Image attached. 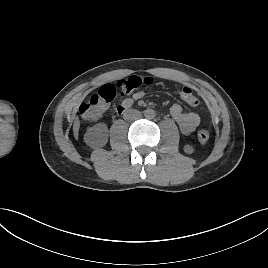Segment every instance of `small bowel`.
I'll return each mask as SVG.
<instances>
[{
	"label": "small bowel",
	"instance_id": "small-bowel-1",
	"mask_svg": "<svg viewBox=\"0 0 268 268\" xmlns=\"http://www.w3.org/2000/svg\"><path fill=\"white\" fill-rule=\"evenodd\" d=\"M143 97L144 92L137 91L131 96L124 98L122 106L126 109L130 108L135 101L141 100ZM170 112L183 135L192 134L200 124V116L194 112H184L183 107L180 104L172 105Z\"/></svg>",
	"mask_w": 268,
	"mask_h": 268
}]
</instances>
